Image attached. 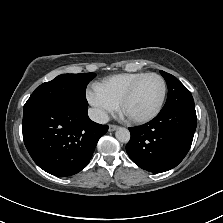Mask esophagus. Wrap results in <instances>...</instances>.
<instances>
[{"label":"esophagus","instance_id":"esophagus-1","mask_svg":"<svg viewBox=\"0 0 223 223\" xmlns=\"http://www.w3.org/2000/svg\"><path fill=\"white\" fill-rule=\"evenodd\" d=\"M119 128V126L117 125H109V131L112 132V131H115Z\"/></svg>","mask_w":223,"mask_h":223}]
</instances>
